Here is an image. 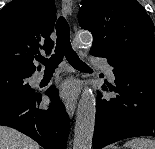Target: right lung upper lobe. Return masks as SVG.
<instances>
[{
  "mask_svg": "<svg viewBox=\"0 0 155 149\" xmlns=\"http://www.w3.org/2000/svg\"><path fill=\"white\" fill-rule=\"evenodd\" d=\"M55 20L54 0H12L4 6L0 10V67L33 74L35 55L53 48L50 34Z\"/></svg>",
  "mask_w": 155,
  "mask_h": 149,
  "instance_id": "right-lung-upper-lobe-1",
  "label": "right lung upper lobe"
}]
</instances>
